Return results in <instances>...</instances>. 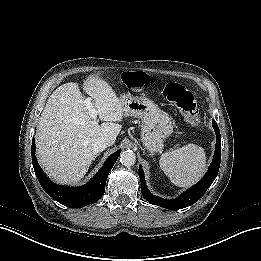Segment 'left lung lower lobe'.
<instances>
[{
    "instance_id": "obj_1",
    "label": "left lung lower lobe",
    "mask_w": 261,
    "mask_h": 261,
    "mask_svg": "<svg viewBox=\"0 0 261 261\" xmlns=\"http://www.w3.org/2000/svg\"><path fill=\"white\" fill-rule=\"evenodd\" d=\"M212 125L215 130L216 139H217L213 162L211 163L206 175L195 186L190 188L179 198L174 200H166L151 194L146 187V182L144 179L142 167L141 166L139 167L141 193L148 202L154 205L164 207L166 209L179 210L194 204L204 195L206 190L209 188V186L213 183L214 179L216 178L219 171L220 161H221V135L215 120L212 121Z\"/></svg>"
}]
</instances>
